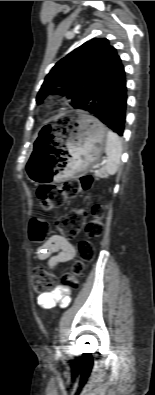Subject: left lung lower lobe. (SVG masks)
Instances as JSON below:
<instances>
[{
	"label": "left lung lower lobe",
	"instance_id": "0a47b994",
	"mask_svg": "<svg viewBox=\"0 0 155 395\" xmlns=\"http://www.w3.org/2000/svg\"><path fill=\"white\" fill-rule=\"evenodd\" d=\"M126 81L124 66L120 62L105 75L79 108L97 117L120 136L124 132L126 117Z\"/></svg>",
	"mask_w": 155,
	"mask_h": 395
}]
</instances>
